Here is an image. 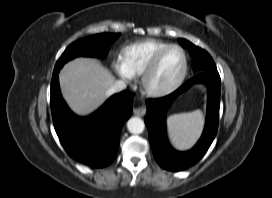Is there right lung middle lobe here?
<instances>
[{
  "label": "right lung middle lobe",
  "instance_id": "1",
  "mask_svg": "<svg viewBox=\"0 0 272 198\" xmlns=\"http://www.w3.org/2000/svg\"><path fill=\"white\" fill-rule=\"evenodd\" d=\"M118 34L102 33L75 41L69 45L58 59L54 72H59L60 68L69 60L78 56H106L111 44L117 39Z\"/></svg>",
  "mask_w": 272,
  "mask_h": 198
}]
</instances>
